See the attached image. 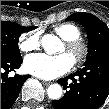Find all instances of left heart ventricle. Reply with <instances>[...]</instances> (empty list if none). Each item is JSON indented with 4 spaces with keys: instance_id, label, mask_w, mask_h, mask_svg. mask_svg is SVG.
Masks as SVG:
<instances>
[{
    "instance_id": "left-heart-ventricle-1",
    "label": "left heart ventricle",
    "mask_w": 109,
    "mask_h": 109,
    "mask_svg": "<svg viewBox=\"0 0 109 109\" xmlns=\"http://www.w3.org/2000/svg\"><path fill=\"white\" fill-rule=\"evenodd\" d=\"M63 52H67L68 55L70 56V58L72 59V61H74L75 56H74L73 54L69 53V52L66 50V47H65V46H64V48H63Z\"/></svg>"
}]
</instances>
